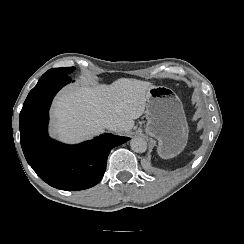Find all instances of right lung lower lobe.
Here are the masks:
<instances>
[{
	"mask_svg": "<svg viewBox=\"0 0 244 244\" xmlns=\"http://www.w3.org/2000/svg\"><path fill=\"white\" fill-rule=\"evenodd\" d=\"M71 82L65 74L41 77L20 112L21 146L28 164L52 187L75 191L96 185L103 177L112 148L129 140L103 134L78 145H65L47 134L48 111L55 94Z\"/></svg>",
	"mask_w": 244,
	"mask_h": 244,
	"instance_id": "right-lung-lower-lobe-1",
	"label": "right lung lower lobe"
}]
</instances>
